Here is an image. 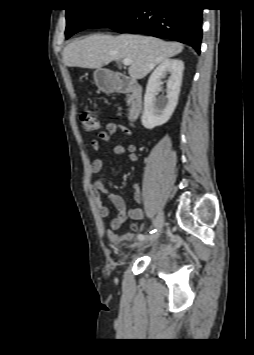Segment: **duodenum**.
Masks as SVG:
<instances>
[{
    "label": "duodenum",
    "instance_id": "1",
    "mask_svg": "<svg viewBox=\"0 0 254 355\" xmlns=\"http://www.w3.org/2000/svg\"><path fill=\"white\" fill-rule=\"evenodd\" d=\"M103 88L108 91L128 94L127 120L130 125H133L138 119L143 106V90L141 85L121 75L106 80Z\"/></svg>",
    "mask_w": 254,
    "mask_h": 355
}]
</instances>
